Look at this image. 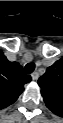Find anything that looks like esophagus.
I'll use <instances>...</instances> for the list:
<instances>
[{"mask_svg":"<svg viewBox=\"0 0 63 123\" xmlns=\"http://www.w3.org/2000/svg\"><path fill=\"white\" fill-rule=\"evenodd\" d=\"M37 76H38V72H37V71H35V72L32 73V77H33L34 79H36Z\"/></svg>","mask_w":63,"mask_h":123,"instance_id":"esophagus-1","label":"esophagus"}]
</instances>
